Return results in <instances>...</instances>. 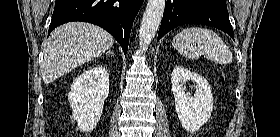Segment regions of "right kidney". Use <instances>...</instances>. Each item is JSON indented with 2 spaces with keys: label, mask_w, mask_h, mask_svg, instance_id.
Here are the masks:
<instances>
[{
  "label": "right kidney",
  "mask_w": 280,
  "mask_h": 137,
  "mask_svg": "<svg viewBox=\"0 0 280 137\" xmlns=\"http://www.w3.org/2000/svg\"><path fill=\"white\" fill-rule=\"evenodd\" d=\"M109 93V74L103 66L81 73L72 83L68 93L72 119L83 132L92 131L102 115L104 101Z\"/></svg>",
  "instance_id": "1"
}]
</instances>
